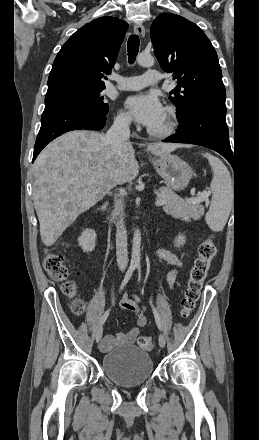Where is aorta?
<instances>
[{"label":"aorta","instance_id":"aorta-1","mask_svg":"<svg viewBox=\"0 0 259 440\" xmlns=\"http://www.w3.org/2000/svg\"><path fill=\"white\" fill-rule=\"evenodd\" d=\"M137 62L143 67H151L154 65V59L150 54L141 53L137 56ZM140 251H141V232L139 229L134 231L133 244H132V261H140Z\"/></svg>","mask_w":259,"mask_h":440}]
</instances>
